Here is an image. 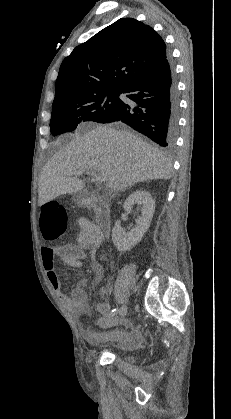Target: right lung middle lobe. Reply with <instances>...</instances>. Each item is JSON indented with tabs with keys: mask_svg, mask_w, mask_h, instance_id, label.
<instances>
[{
	"mask_svg": "<svg viewBox=\"0 0 231 419\" xmlns=\"http://www.w3.org/2000/svg\"><path fill=\"white\" fill-rule=\"evenodd\" d=\"M123 90L104 89L53 103L50 130L53 136L73 131L83 121L103 122L123 103Z\"/></svg>",
	"mask_w": 231,
	"mask_h": 419,
	"instance_id": "right-lung-middle-lobe-1",
	"label": "right lung middle lobe"
}]
</instances>
